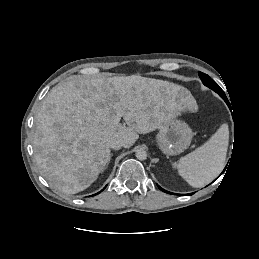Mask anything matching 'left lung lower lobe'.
Segmentation results:
<instances>
[{"mask_svg":"<svg viewBox=\"0 0 259 259\" xmlns=\"http://www.w3.org/2000/svg\"><path fill=\"white\" fill-rule=\"evenodd\" d=\"M218 94H219V95L225 100V102L228 104V99H227L225 93L222 91V92H220V93H218ZM158 187H159V186H158ZM159 188H160L162 191L166 192V193L174 194V193H171V192H168V191L162 189L161 187H159Z\"/></svg>","mask_w":259,"mask_h":259,"instance_id":"0a47b994","label":"left lung lower lobe"}]
</instances>
